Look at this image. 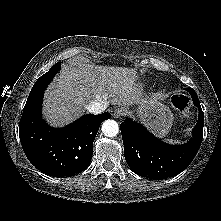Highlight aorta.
I'll return each mask as SVG.
<instances>
[{
    "instance_id": "aorta-1",
    "label": "aorta",
    "mask_w": 221,
    "mask_h": 221,
    "mask_svg": "<svg viewBox=\"0 0 221 221\" xmlns=\"http://www.w3.org/2000/svg\"><path fill=\"white\" fill-rule=\"evenodd\" d=\"M101 130L105 136L114 137L119 132V126L116 121L109 119L103 122Z\"/></svg>"
}]
</instances>
